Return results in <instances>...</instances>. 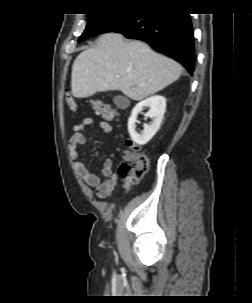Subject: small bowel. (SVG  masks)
<instances>
[{
	"instance_id": "obj_1",
	"label": "small bowel",
	"mask_w": 252,
	"mask_h": 303,
	"mask_svg": "<svg viewBox=\"0 0 252 303\" xmlns=\"http://www.w3.org/2000/svg\"><path fill=\"white\" fill-rule=\"evenodd\" d=\"M93 123L94 120L92 118L86 117L74 125L73 134L69 141V157L73 160L74 169L79 177L95 190L97 197L104 199L111 195L118 182V177L113 171L112 160L107 158L103 161L101 172L104 179L90 172L85 164L78 160V150L85 143L82 131ZM97 125L102 132L109 133L112 131V126L106 121H100Z\"/></svg>"
}]
</instances>
